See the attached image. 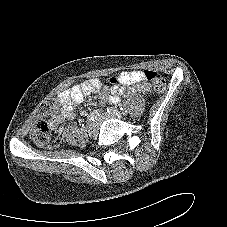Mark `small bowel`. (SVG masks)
<instances>
[{
  "label": "small bowel",
  "instance_id": "small-bowel-1",
  "mask_svg": "<svg viewBox=\"0 0 227 227\" xmlns=\"http://www.w3.org/2000/svg\"><path fill=\"white\" fill-rule=\"evenodd\" d=\"M144 81L143 71H123L118 75V82L112 85L109 90L102 92L101 99L104 102L117 103L127 91L136 94L147 93L149 86ZM101 87L100 80L93 78L61 91L57 96L59 108L51 115L50 126L56 128L62 122L71 120L74 107L85 96L100 90Z\"/></svg>",
  "mask_w": 227,
  "mask_h": 227
}]
</instances>
